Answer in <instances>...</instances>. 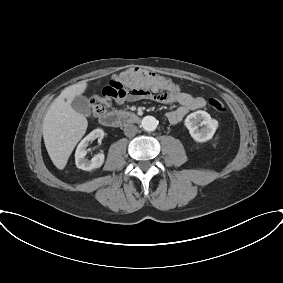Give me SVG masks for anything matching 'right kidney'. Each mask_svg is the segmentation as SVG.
Wrapping results in <instances>:
<instances>
[{"label": "right kidney", "instance_id": "right-kidney-1", "mask_svg": "<svg viewBox=\"0 0 283 283\" xmlns=\"http://www.w3.org/2000/svg\"><path fill=\"white\" fill-rule=\"evenodd\" d=\"M103 137L104 131L102 129H95L79 143L75 152V163L79 169L91 171L102 166L105 158L104 154H97L91 160L85 159V156L89 142L97 138L101 140Z\"/></svg>", "mask_w": 283, "mask_h": 283}]
</instances>
